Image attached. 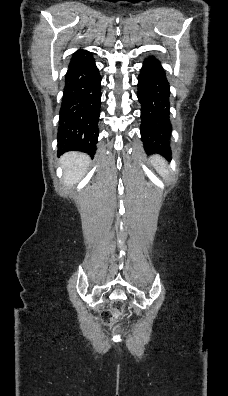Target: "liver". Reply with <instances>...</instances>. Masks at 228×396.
Segmentation results:
<instances>
[{
  "instance_id": "obj_1",
  "label": "liver",
  "mask_w": 228,
  "mask_h": 396,
  "mask_svg": "<svg viewBox=\"0 0 228 396\" xmlns=\"http://www.w3.org/2000/svg\"><path fill=\"white\" fill-rule=\"evenodd\" d=\"M90 158L79 152L66 153L61 158L64 169L63 180L66 185L72 186L78 183L86 174Z\"/></svg>"
}]
</instances>
